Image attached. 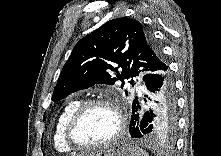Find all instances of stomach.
Segmentation results:
<instances>
[{
	"mask_svg": "<svg viewBox=\"0 0 221 156\" xmlns=\"http://www.w3.org/2000/svg\"><path fill=\"white\" fill-rule=\"evenodd\" d=\"M88 156H136V152L131 143L123 141Z\"/></svg>",
	"mask_w": 221,
	"mask_h": 156,
	"instance_id": "1",
	"label": "stomach"
}]
</instances>
